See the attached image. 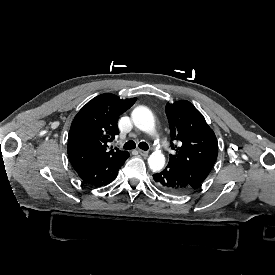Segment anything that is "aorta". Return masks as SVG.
<instances>
[{
  "instance_id": "aorta-1",
  "label": "aorta",
  "mask_w": 275,
  "mask_h": 275,
  "mask_svg": "<svg viewBox=\"0 0 275 275\" xmlns=\"http://www.w3.org/2000/svg\"><path fill=\"white\" fill-rule=\"evenodd\" d=\"M131 118L139 130L150 134L155 131L153 113L146 106H137L132 111ZM148 164L153 172H159L165 165V157L162 153L153 152L148 158Z\"/></svg>"
}]
</instances>
